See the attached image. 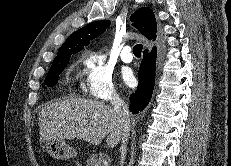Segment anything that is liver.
Masks as SVG:
<instances>
[{
    "mask_svg": "<svg viewBox=\"0 0 231 166\" xmlns=\"http://www.w3.org/2000/svg\"><path fill=\"white\" fill-rule=\"evenodd\" d=\"M40 139H81L114 148L123 138L121 117L109 105L92 99H66L45 105L39 112Z\"/></svg>",
    "mask_w": 231,
    "mask_h": 166,
    "instance_id": "1",
    "label": "liver"
}]
</instances>
